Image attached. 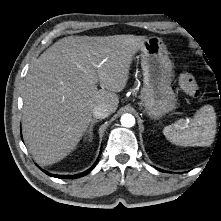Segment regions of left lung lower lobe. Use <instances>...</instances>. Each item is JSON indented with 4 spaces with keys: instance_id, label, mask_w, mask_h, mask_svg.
<instances>
[{
    "instance_id": "1",
    "label": "left lung lower lobe",
    "mask_w": 221,
    "mask_h": 221,
    "mask_svg": "<svg viewBox=\"0 0 221 221\" xmlns=\"http://www.w3.org/2000/svg\"><path fill=\"white\" fill-rule=\"evenodd\" d=\"M159 171H161V172H165V171H163V170H161V169H158Z\"/></svg>"
}]
</instances>
